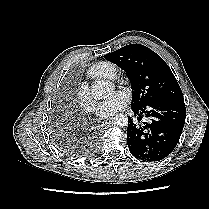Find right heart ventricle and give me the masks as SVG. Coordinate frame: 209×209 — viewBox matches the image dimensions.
Returning <instances> with one entry per match:
<instances>
[{
    "mask_svg": "<svg viewBox=\"0 0 209 209\" xmlns=\"http://www.w3.org/2000/svg\"><path fill=\"white\" fill-rule=\"evenodd\" d=\"M116 74V65L108 61L94 63L87 70V76L95 80L112 79Z\"/></svg>",
    "mask_w": 209,
    "mask_h": 209,
    "instance_id": "obj_1",
    "label": "right heart ventricle"
}]
</instances>
